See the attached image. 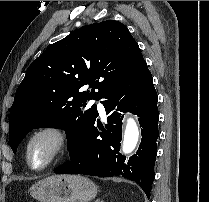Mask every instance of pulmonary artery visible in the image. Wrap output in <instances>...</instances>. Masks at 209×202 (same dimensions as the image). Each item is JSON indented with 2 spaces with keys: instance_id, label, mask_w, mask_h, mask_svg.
<instances>
[{
  "instance_id": "e3ab8cb5",
  "label": "pulmonary artery",
  "mask_w": 209,
  "mask_h": 202,
  "mask_svg": "<svg viewBox=\"0 0 209 202\" xmlns=\"http://www.w3.org/2000/svg\"><path fill=\"white\" fill-rule=\"evenodd\" d=\"M92 105H95L97 107L100 114H104L105 108H104V103L102 102V100L98 98L91 99L88 102V106H92Z\"/></svg>"
}]
</instances>
